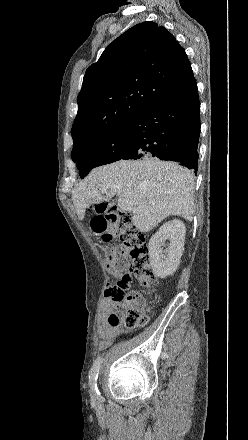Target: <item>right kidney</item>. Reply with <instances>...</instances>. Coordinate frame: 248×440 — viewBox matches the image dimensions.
Listing matches in <instances>:
<instances>
[{"label":"right kidney","mask_w":248,"mask_h":440,"mask_svg":"<svg viewBox=\"0 0 248 440\" xmlns=\"http://www.w3.org/2000/svg\"><path fill=\"white\" fill-rule=\"evenodd\" d=\"M186 228L182 221L173 219L163 224L149 241V260L156 277L173 275L180 265L184 251ZM166 240L168 248L163 250Z\"/></svg>","instance_id":"1"}]
</instances>
